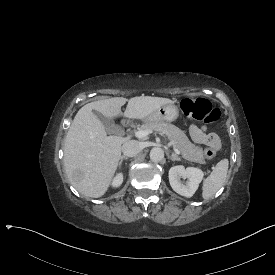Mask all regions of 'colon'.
Instances as JSON below:
<instances>
[{
  "instance_id": "obj_1",
  "label": "colon",
  "mask_w": 275,
  "mask_h": 275,
  "mask_svg": "<svg viewBox=\"0 0 275 275\" xmlns=\"http://www.w3.org/2000/svg\"><path fill=\"white\" fill-rule=\"evenodd\" d=\"M180 110L185 117L207 125L213 124L221 116V111L214 108L205 98L183 99L180 103ZM204 156L207 159L215 158L216 149L213 147L205 149Z\"/></svg>"
}]
</instances>
